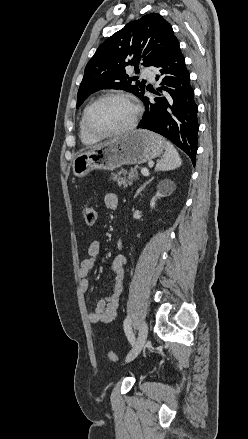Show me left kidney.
<instances>
[{
    "mask_svg": "<svg viewBox=\"0 0 248 439\" xmlns=\"http://www.w3.org/2000/svg\"><path fill=\"white\" fill-rule=\"evenodd\" d=\"M173 190H174V184L172 181L170 180L161 181L157 186L156 195L151 199L150 207L152 209L155 208L157 199L170 195L173 192Z\"/></svg>",
    "mask_w": 248,
    "mask_h": 439,
    "instance_id": "obj_1",
    "label": "left kidney"
}]
</instances>
